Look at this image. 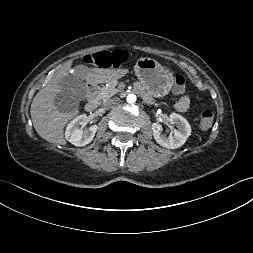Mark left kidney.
<instances>
[{
	"label": "left kidney",
	"mask_w": 253,
	"mask_h": 253,
	"mask_svg": "<svg viewBox=\"0 0 253 253\" xmlns=\"http://www.w3.org/2000/svg\"><path fill=\"white\" fill-rule=\"evenodd\" d=\"M169 122L175 125L177 129H174L168 137L161 133L162 127L159 123L152 124L154 139L165 148L175 149L181 147L191 135V126L184 117L176 113L170 114Z\"/></svg>",
	"instance_id": "1"
}]
</instances>
